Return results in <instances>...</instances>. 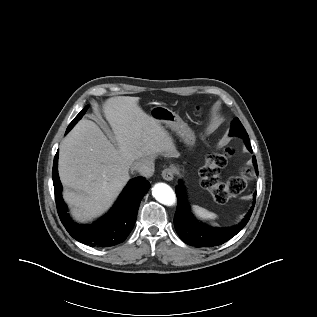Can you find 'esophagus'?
Masks as SVG:
<instances>
[{
	"label": "esophagus",
	"mask_w": 317,
	"mask_h": 317,
	"mask_svg": "<svg viewBox=\"0 0 317 317\" xmlns=\"http://www.w3.org/2000/svg\"><path fill=\"white\" fill-rule=\"evenodd\" d=\"M162 177L166 181H171L174 178V168L167 167L162 171Z\"/></svg>",
	"instance_id": "1"
}]
</instances>
